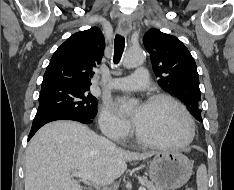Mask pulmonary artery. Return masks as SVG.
<instances>
[{"instance_id": "e3ab8cb5", "label": "pulmonary artery", "mask_w": 234, "mask_h": 190, "mask_svg": "<svg viewBox=\"0 0 234 190\" xmlns=\"http://www.w3.org/2000/svg\"><path fill=\"white\" fill-rule=\"evenodd\" d=\"M148 83V71L144 66H140L132 76L113 78L111 87L117 90H139Z\"/></svg>"}]
</instances>
